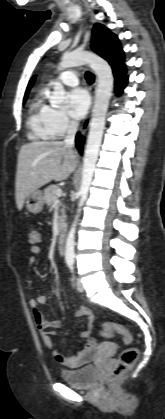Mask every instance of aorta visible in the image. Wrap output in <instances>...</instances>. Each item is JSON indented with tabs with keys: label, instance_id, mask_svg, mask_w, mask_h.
Here are the masks:
<instances>
[{
	"label": "aorta",
	"instance_id": "762f6f07",
	"mask_svg": "<svg viewBox=\"0 0 165 419\" xmlns=\"http://www.w3.org/2000/svg\"><path fill=\"white\" fill-rule=\"evenodd\" d=\"M84 64H88L91 69L95 71L98 78V85L96 89L95 102L92 110V119L90 122V130L83 159L78 213L81 211V207L87 199L89 188L93 180L99 149L101 146L103 130L105 127L107 109L112 95L114 82L112 69L107 61L87 51H73L70 53H64L61 58V62L59 63L58 70L62 71L70 67ZM64 98V86L59 81H57L54 83L53 92L49 97L51 106L59 107L63 103ZM78 217L79 215L76 216L75 221L69 230L65 244V261L69 265L73 264L75 259V232Z\"/></svg>",
	"mask_w": 165,
	"mask_h": 419
}]
</instances>
